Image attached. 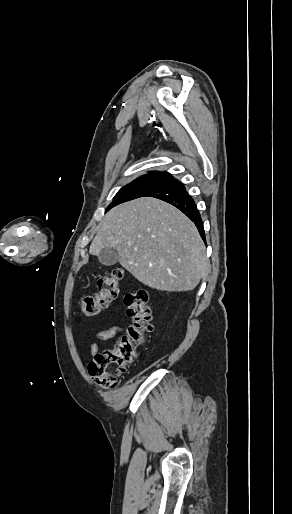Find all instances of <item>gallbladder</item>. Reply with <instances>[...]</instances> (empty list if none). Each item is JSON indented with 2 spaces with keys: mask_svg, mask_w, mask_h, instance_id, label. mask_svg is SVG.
Masks as SVG:
<instances>
[{
  "mask_svg": "<svg viewBox=\"0 0 292 514\" xmlns=\"http://www.w3.org/2000/svg\"><path fill=\"white\" fill-rule=\"evenodd\" d=\"M100 264L103 266H114L117 264L119 260L118 252L112 246H107V248H102L97 256Z\"/></svg>",
  "mask_w": 292,
  "mask_h": 514,
  "instance_id": "gallbladder-1",
  "label": "gallbladder"
}]
</instances>
